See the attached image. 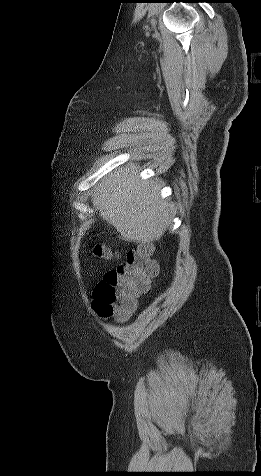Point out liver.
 I'll use <instances>...</instances> for the list:
<instances>
[{
	"label": "liver",
	"mask_w": 261,
	"mask_h": 476,
	"mask_svg": "<svg viewBox=\"0 0 261 476\" xmlns=\"http://www.w3.org/2000/svg\"><path fill=\"white\" fill-rule=\"evenodd\" d=\"M93 206L125 241L159 240L171 220L168 203L159 200L158 185L137 180L135 165L106 177L96 187Z\"/></svg>",
	"instance_id": "6515ba94"
}]
</instances>
